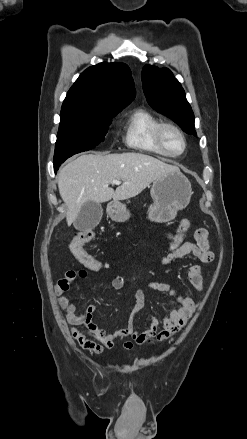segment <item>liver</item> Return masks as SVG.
<instances>
[{"instance_id": "6515ba94", "label": "liver", "mask_w": 247, "mask_h": 439, "mask_svg": "<svg viewBox=\"0 0 247 439\" xmlns=\"http://www.w3.org/2000/svg\"><path fill=\"white\" fill-rule=\"evenodd\" d=\"M178 167L142 153L84 154L60 169L58 188L71 225L87 201L103 203L126 200L140 194L156 179ZM122 181L116 190L112 180Z\"/></svg>"}]
</instances>
